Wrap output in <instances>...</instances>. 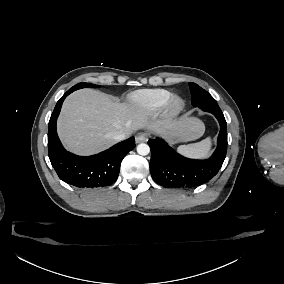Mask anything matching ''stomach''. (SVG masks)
Returning <instances> with one entry per match:
<instances>
[{
  "mask_svg": "<svg viewBox=\"0 0 284 284\" xmlns=\"http://www.w3.org/2000/svg\"><path fill=\"white\" fill-rule=\"evenodd\" d=\"M170 139L172 142H177L180 140H184V134L182 130H175L171 133Z\"/></svg>",
  "mask_w": 284,
  "mask_h": 284,
  "instance_id": "1",
  "label": "stomach"
}]
</instances>
